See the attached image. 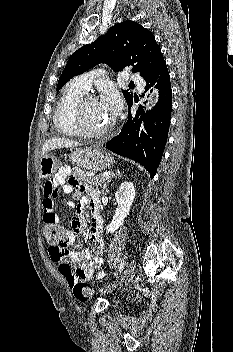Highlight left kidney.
<instances>
[{
	"instance_id": "obj_1",
	"label": "left kidney",
	"mask_w": 233,
	"mask_h": 352,
	"mask_svg": "<svg viewBox=\"0 0 233 352\" xmlns=\"http://www.w3.org/2000/svg\"><path fill=\"white\" fill-rule=\"evenodd\" d=\"M118 203L112 222L106 226V233H114L124 223V219L129 215L130 208L135 199V188L132 182H123L115 193Z\"/></svg>"
}]
</instances>
